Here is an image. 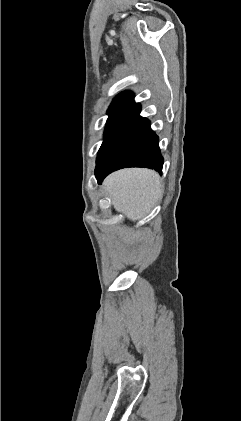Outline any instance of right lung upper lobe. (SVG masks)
<instances>
[{
	"label": "right lung upper lobe",
	"mask_w": 241,
	"mask_h": 421,
	"mask_svg": "<svg viewBox=\"0 0 241 421\" xmlns=\"http://www.w3.org/2000/svg\"><path fill=\"white\" fill-rule=\"evenodd\" d=\"M134 104V94L131 91H124L114 98L110 108L133 106Z\"/></svg>",
	"instance_id": "right-lung-upper-lobe-1"
}]
</instances>
